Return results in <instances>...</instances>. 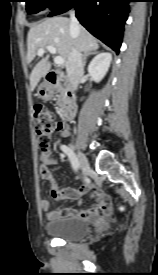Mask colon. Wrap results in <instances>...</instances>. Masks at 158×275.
<instances>
[{
    "mask_svg": "<svg viewBox=\"0 0 158 275\" xmlns=\"http://www.w3.org/2000/svg\"><path fill=\"white\" fill-rule=\"evenodd\" d=\"M35 129L37 145L41 151H47L51 142L52 134L60 126L54 115L44 106L34 107Z\"/></svg>",
    "mask_w": 158,
    "mask_h": 275,
    "instance_id": "obj_1",
    "label": "colon"
}]
</instances>
